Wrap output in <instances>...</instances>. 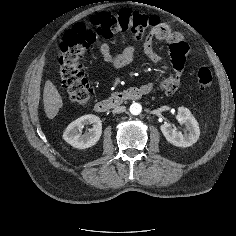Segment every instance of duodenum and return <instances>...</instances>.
<instances>
[{
    "label": "duodenum",
    "instance_id": "obj_1",
    "mask_svg": "<svg viewBox=\"0 0 236 236\" xmlns=\"http://www.w3.org/2000/svg\"><path fill=\"white\" fill-rule=\"evenodd\" d=\"M148 94L144 87H129L121 92L112 95L105 100L97 101L94 104V110L97 112H106L123 104L125 101H134Z\"/></svg>",
    "mask_w": 236,
    "mask_h": 236
}]
</instances>
